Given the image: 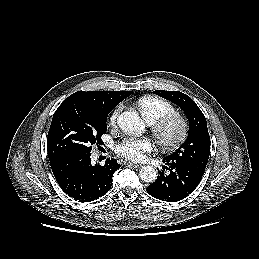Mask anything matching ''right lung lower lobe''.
<instances>
[{"label":"right lung lower lobe","mask_w":259,"mask_h":259,"mask_svg":"<svg viewBox=\"0 0 259 259\" xmlns=\"http://www.w3.org/2000/svg\"><path fill=\"white\" fill-rule=\"evenodd\" d=\"M91 153H69L50 159L53 174L62 190L81 202L104 196L112 185L114 172L120 168L115 159L105 165H91Z\"/></svg>","instance_id":"right-lung-lower-lobe-1"}]
</instances>
